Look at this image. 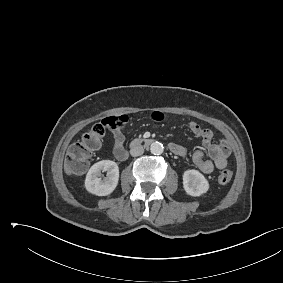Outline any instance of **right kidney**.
<instances>
[{
  "mask_svg": "<svg viewBox=\"0 0 283 283\" xmlns=\"http://www.w3.org/2000/svg\"><path fill=\"white\" fill-rule=\"evenodd\" d=\"M101 172H107L104 179L100 177ZM118 180V165L114 161L102 160L89 169L85 179V188L97 196H106L115 190Z\"/></svg>",
  "mask_w": 283,
  "mask_h": 283,
  "instance_id": "obj_1",
  "label": "right kidney"
}]
</instances>
